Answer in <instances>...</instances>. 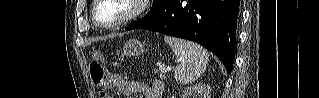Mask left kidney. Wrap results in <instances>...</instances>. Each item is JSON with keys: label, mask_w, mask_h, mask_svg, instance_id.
<instances>
[{"label": "left kidney", "mask_w": 319, "mask_h": 98, "mask_svg": "<svg viewBox=\"0 0 319 98\" xmlns=\"http://www.w3.org/2000/svg\"><path fill=\"white\" fill-rule=\"evenodd\" d=\"M210 87L205 84H196L186 88L182 98H210Z\"/></svg>", "instance_id": "5707ae66"}]
</instances>
